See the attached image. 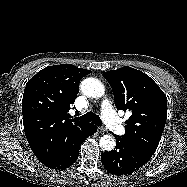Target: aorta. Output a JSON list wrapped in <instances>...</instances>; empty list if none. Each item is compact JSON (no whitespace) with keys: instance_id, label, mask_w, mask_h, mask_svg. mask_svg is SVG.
<instances>
[{"instance_id":"aorta-1","label":"aorta","mask_w":187,"mask_h":187,"mask_svg":"<svg viewBox=\"0 0 187 187\" xmlns=\"http://www.w3.org/2000/svg\"><path fill=\"white\" fill-rule=\"evenodd\" d=\"M82 92L92 98H100L105 94L104 84L96 78H87L82 82L81 85ZM100 146L104 150H112L116 145V140L111 135H103L99 140Z\"/></svg>"}]
</instances>
